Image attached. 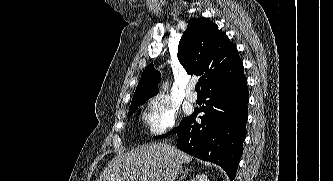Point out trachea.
Wrapping results in <instances>:
<instances>
[{"mask_svg": "<svg viewBox=\"0 0 333 181\" xmlns=\"http://www.w3.org/2000/svg\"><path fill=\"white\" fill-rule=\"evenodd\" d=\"M195 90H196L197 93L201 92L200 91V84L199 83L196 84Z\"/></svg>", "mask_w": 333, "mask_h": 181, "instance_id": "1", "label": "trachea"}]
</instances>
